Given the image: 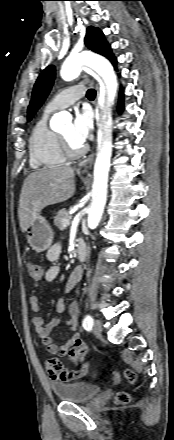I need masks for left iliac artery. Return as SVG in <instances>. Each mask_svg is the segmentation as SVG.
<instances>
[{"instance_id":"obj_1","label":"left iliac artery","mask_w":174,"mask_h":440,"mask_svg":"<svg viewBox=\"0 0 174 440\" xmlns=\"http://www.w3.org/2000/svg\"><path fill=\"white\" fill-rule=\"evenodd\" d=\"M93 325V318L90 315H87L85 319L83 320V327H92Z\"/></svg>"}]
</instances>
